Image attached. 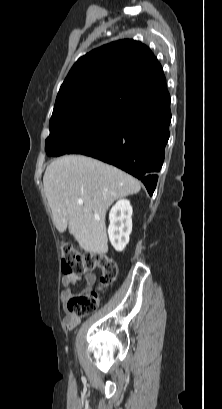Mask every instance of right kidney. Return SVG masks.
<instances>
[{
    "label": "right kidney",
    "mask_w": 222,
    "mask_h": 409,
    "mask_svg": "<svg viewBox=\"0 0 222 409\" xmlns=\"http://www.w3.org/2000/svg\"><path fill=\"white\" fill-rule=\"evenodd\" d=\"M132 206L127 199H120L111 208L109 213L108 235L112 246L121 252L129 243L132 232Z\"/></svg>",
    "instance_id": "obj_1"
}]
</instances>
